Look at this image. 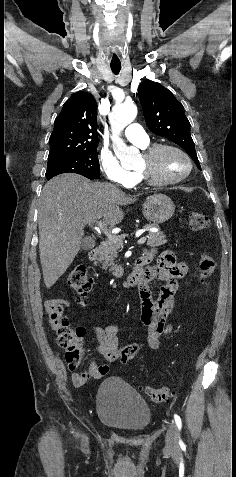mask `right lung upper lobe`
Wrapping results in <instances>:
<instances>
[{"label":"right lung upper lobe","instance_id":"right-lung-upper-lobe-1","mask_svg":"<svg viewBox=\"0 0 236 477\" xmlns=\"http://www.w3.org/2000/svg\"><path fill=\"white\" fill-rule=\"evenodd\" d=\"M49 142L48 161L98 145L97 110L92 94L80 91L65 102Z\"/></svg>","mask_w":236,"mask_h":477}]
</instances>
